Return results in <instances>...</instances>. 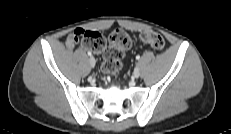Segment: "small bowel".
Masks as SVG:
<instances>
[{"instance_id":"c3829d8e","label":"small bowel","mask_w":231,"mask_h":134,"mask_svg":"<svg viewBox=\"0 0 231 134\" xmlns=\"http://www.w3.org/2000/svg\"><path fill=\"white\" fill-rule=\"evenodd\" d=\"M78 42L74 40L73 38V33H71L67 39H66V46L69 48V49H72L74 48V46L77 44Z\"/></svg>"}]
</instances>
